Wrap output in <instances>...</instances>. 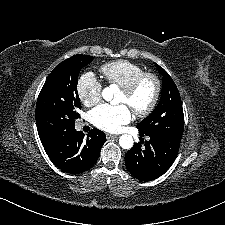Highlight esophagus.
Wrapping results in <instances>:
<instances>
[{"instance_id":"34e87169","label":"esophagus","mask_w":225,"mask_h":225,"mask_svg":"<svg viewBox=\"0 0 225 225\" xmlns=\"http://www.w3.org/2000/svg\"><path fill=\"white\" fill-rule=\"evenodd\" d=\"M107 139H117L118 135H114V134H106Z\"/></svg>"}]
</instances>
